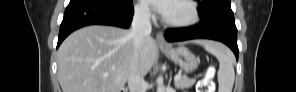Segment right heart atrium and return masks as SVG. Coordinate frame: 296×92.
Returning a JSON list of instances; mask_svg holds the SVG:
<instances>
[{"instance_id":"obj_1","label":"right heart atrium","mask_w":296,"mask_h":92,"mask_svg":"<svg viewBox=\"0 0 296 92\" xmlns=\"http://www.w3.org/2000/svg\"><path fill=\"white\" fill-rule=\"evenodd\" d=\"M135 10L136 14L142 19H149L152 17L151 9L144 3L137 4Z\"/></svg>"}]
</instances>
